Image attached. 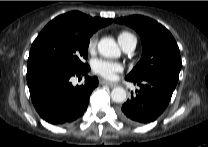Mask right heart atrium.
I'll return each mask as SVG.
<instances>
[{
	"mask_svg": "<svg viewBox=\"0 0 208 147\" xmlns=\"http://www.w3.org/2000/svg\"><path fill=\"white\" fill-rule=\"evenodd\" d=\"M97 45V36L93 35L92 37H90L89 41H88V50L94 51Z\"/></svg>",
	"mask_w": 208,
	"mask_h": 147,
	"instance_id": "right-heart-atrium-1",
	"label": "right heart atrium"
}]
</instances>
